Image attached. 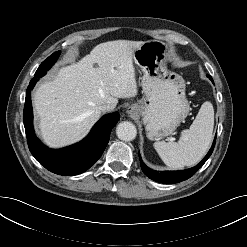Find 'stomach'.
<instances>
[{"instance_id": "0dacf381", "label": "stomach", "mask_w": 247, "mask_h": 247, "mask_svg": "<svg viewBox=\"0 0 247 247\" xmlns=\"http://www.w3.org/2000/svg\"><path fill=\"white\" fill-rule=\"evenodd\" d=\"M167 56L168 46L160 40L145 41L133 53L135 63L143 72L144 98L131 108L142 117L150 140L172 134L190 111L185 80L167 68Z\"/></svg>"}]
</instances>
